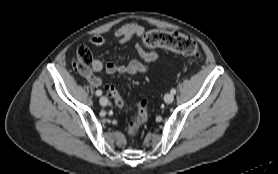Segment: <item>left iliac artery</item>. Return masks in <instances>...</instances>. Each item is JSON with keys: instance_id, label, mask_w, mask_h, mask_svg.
<instances>
[{"instance_id": "left-iliac-artery-1", "label": "left iliac artery", "mask_w": 278, "mask_h": 174, "mask_svg": "<svg viewBox=\"0 0 278 174\" xmlns=\"http://www.w3.org/2000/svg\"><path fill=\"white\" fill-rule=\"evenodd\" d=\"M170 92H171V94H173V95L176 94V90H175V89H171Z\"/></svg>"}]
</instances>
